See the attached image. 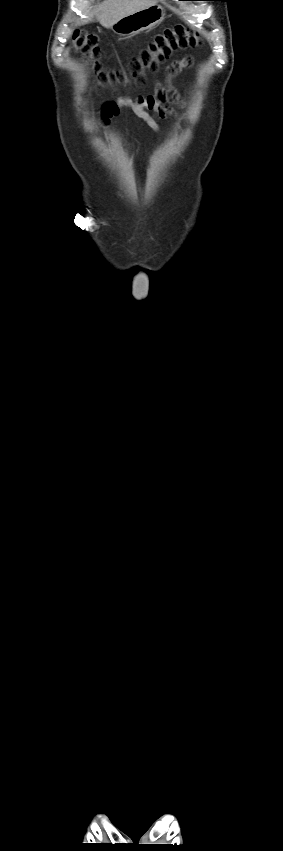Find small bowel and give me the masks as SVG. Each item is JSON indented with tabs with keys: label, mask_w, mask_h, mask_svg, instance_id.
Instances as JSON below:
<instances>
[{
	"label": "small bowel",
	"mask_w": 283,
	"mask_h": 851,
	"mask_svg": "<svg viewBox=\"0 0 283 851\" xmlns=\"http://www.w3.org/2000/svg\"><path fill=\"white\" fill-rule=\"evenodd\" d=\"M190 62V59L174 62L169 67V73L165 85L158 84L154 95L141 96L136 100L120 98L116 103L106 104L103 107L101 114L102 125L106 127L109 124L110 119L118 114L120 108H128L131 109L138 118L143 120L153 131L159 133L160 127L156 120L148 113V110L157 112L159 117L162 119H167L172 114V109L166 105L167 103H173L178 107L182 106V101L177 91L172 86L171 80L182 68L190 64Z\"/></svg>",
	"instance_id": "c3829d8e"
}]
</instances>
